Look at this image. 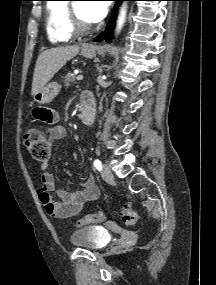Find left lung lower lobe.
<instances>
[{
    "label": "left lung lower lobe",
    "instance_id": "obj_1",
    "mask_svg": "<svg viewBox=\"0 0 216 285\" xmlns=\"http://www.w3.org/2000/svg\"><path fill=\"white\" fill-rule=\"evenodd\" d=\"M115 1H116V5H115V8H114V14L116 13L117 7L120 5V3H121L122 1H136V0H115ZM112 33H113V20H112V22L106 27L105 32L100 33V34L94 39V41L100 42V41H103V40L105 39L107 42H110V41H111V38H112Z\"/></svg>",
    "mask_w": 216,
    "mask_h": 285
}]
</instances>
